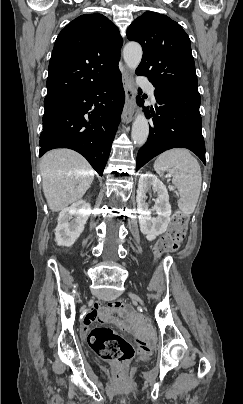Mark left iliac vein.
<instances>
[{
  "label": "left iliac vein",
  "instance_id": "obj_1",
  "mask_svg": "<svg viewBox=\"0 0 243 404\" xmlns=\"http://www.w3.org/2000/svg\"><path fill=\"white\" fill-rule=\"evenodd\" d=\"M129 295H130V297H131L132 299L138 301L142 306H144L143 300H142L138 295H136V294H134V293H130Z\"/></svg>",
  "mask_w": 243,
  "mask_h": 404
}]
</instances>
